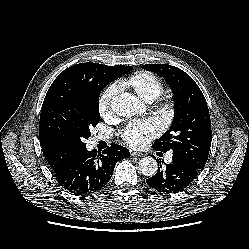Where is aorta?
I'll return each mask as SVG.
<instances>
[{
	"label": "aorta",
	"instance_id": "1",
	"mask_svg": "<svg viewBox=\"0 0 249 249\" xmlns=\"http://www.w3.org/2000/svg\"><path fill=\"white\" fill-rule=\"evenodd\" d=\"M114 113L123 117H132L138 114L143 106L140 100L131 93H122L111 101ZM138 169L145 176H154L158 169L157 161L153 157H143L138 163Z\"/></svg>",
	"mask_w": 249,
	"mask_h": 249
}]
</instances>
